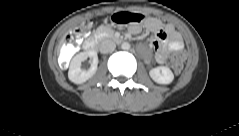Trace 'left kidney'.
I'll return each mask as SVG.
<instances>
[{"instance_id":"left-kidney-1","label":"left kidney","mask_w":239,"mask_h":136,"mask_svg":"<svg viewBox=\"0 0 239 136\" xmlns=\"http://www.w3.org/2000/svg\"><path fill=\"white\" fill-rule=\"evenodd\" d=\"M149 75L158 84H170L174 79L172 71L165 66L151 69Z\"/></svg>"}]
</instances>
